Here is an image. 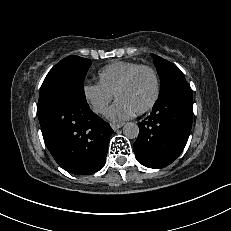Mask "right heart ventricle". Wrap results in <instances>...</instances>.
<instances>
[{
    "instance_id": "e07e8e85",
    "label": "right heart ventricle",
    "mask_w": 231,
    "mask_h": 231,
    "mask_svg": "<svg viewBox=\"0 0 231 231\" xmlns=\"http://www.w3.org/2000/svg\"><path fill=\"white\" fill-rule=\"evenodd\" d=\"M140 64L131 61H116L104 66L98 73L99 83L115 94L124 78Z\"/></svg>"
}]
</instances>
